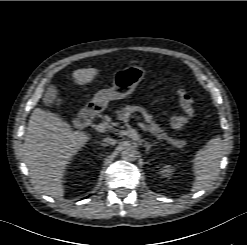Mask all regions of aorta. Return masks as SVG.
Here are the masks:
<instances>
[{
  "label": "aorta",
  "mask_w": 247,
  "mask_h": 245,
  "mask_svg": "<svg viewBox=\"0 0 247 245\" xmlns=\"http://www.w3.org/2000/svg\"><path fill=\"white\" fill-rule=\"evenodd\" d=\"M138 152L137 150L130 145H124L121 151L122 159L126 161H135L137 158Z\"/></svg>",
  "instance_id": "aorta-1"
}]
</instances>
